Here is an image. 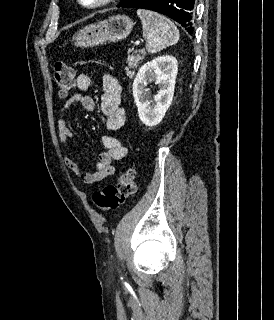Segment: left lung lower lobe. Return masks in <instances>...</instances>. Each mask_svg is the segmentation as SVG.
Wrapping results in <instances>:
<instances>
[{"label": "left lung lower lobe", "instance_id": "obj_1", "mask_svg": "<svg viewBox=\"0 0 274 320\" xmlns=\"http://www.w3.org/2000/svg\"><path fill=\"white\" fill-rule=\"evenodd\" d=\"M120 7L142 8L162 13L180 23L190 34L193 32L194 0H127Z\"/></svg>", "mask_w": 274, "mask_h": 320}]
</instances>
